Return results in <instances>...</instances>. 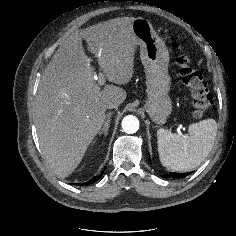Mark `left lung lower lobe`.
I'll return each mask as SVG.
<instances>
[{
  "mask_svg": "<svg viewBox=\"0 0 236 236\" xmlns=\"http://www.w3.org/2000/svg\"><path fill=\"white\" fill-rule=\"evenodd\" d=\"M189 174H191V172H188V173H175V172H171V173H169L167 175H164L162 177H165V178L166 177H184V176H187Z\"/></svg>",
  "mask_w": 236,
  "mask_h": 236,
  "instance_id": "1",
  "label": "left lung lower lobe"
}]
</instances>
